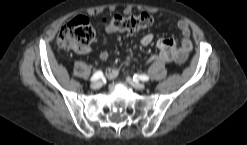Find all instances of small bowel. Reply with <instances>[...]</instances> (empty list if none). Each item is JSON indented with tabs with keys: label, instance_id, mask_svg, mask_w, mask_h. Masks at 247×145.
<instances>
[{
	"label": "small bowel",
	"instance_id": "small-bowel-1",
	"mask_svg": "<svg viewBox=\"0 0 247 145\" xmlns=\"http://www.w3.org/2000/svg\"><path fill=\"white\" fill-rule=\"evenodd\" d=\"M177 28L181 35V41L179 45H176L174 40L169 38H159L156 41V46L160 50L159 54L152 56L150 62H169L181 65L186 62L188 54L192 49V42L190 40V28L186 21L179 20L177 22ZM108 33H113L111 29L106 27ZM154 41V35L147 33L143 35L139 43L142 46H148ZM80 54H87L91 51V47L88 46L82 50H75ZM109 57L108 52L103 51L100 53L99 58L101 61H106ZM120 69L117 66L109 67L106 71V77L108 79H114L119 75Z\"/></svg>",
	"mask_w": 247,
	"mask_h": 145
}]
</instances>
